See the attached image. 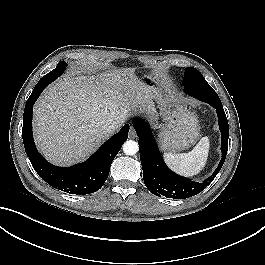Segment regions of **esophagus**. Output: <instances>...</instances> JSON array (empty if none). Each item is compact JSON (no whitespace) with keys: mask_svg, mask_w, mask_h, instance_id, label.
Returning a JSON list of instances; mask_svg holds the SVG:
<instances>
[{"mask_svg":"<svg viewBox=\"0 0 265 265\" xmlns=\"http://www.w3.org/2000/svg\"><path fill=\"white\" fill-rule=\"evenodd\" d=\"M129 137L131 139H134V138L137 137L136 131H135V129L132 126L130 127V130H129Z\"/></svg>","mask_w":265,"mask_h":265,"instance_id":"1","label":"esophagus"}]
</instances>
